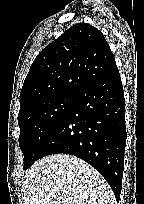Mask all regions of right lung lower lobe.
Instances as JSON below:
<instances>
[{"instance_id":"obj_1","label":"right lung lower lobe","mask_w":144,"mask_h":204,"mask_svg":"<svg viewBox=\"0 0 144 204\" xmlns=\"http://www.w3.org/2000/svg\"><path fill=\"white\" fill-rule=\"evenodd\" d=\"M126 137L124 91L115 68L76 94L40 158L66 153L85 160L106 179L118 202Z\"/></svg>"}]
</instances>
